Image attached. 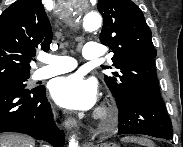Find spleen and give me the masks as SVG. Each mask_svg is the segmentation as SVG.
Masks as SVG:
<instances>
[{
	"label": "spleen",
	"instance_id": "obj_1",
	"mask_svg": "<svg viewBox=\"0 0 183 147\" xmlns=\"http://www.w3.org/2000/svg\"><path fill=\"white\" fill-rule=\"evenodd\" d=\"M123 140L128 142H136L145 147H154V143L151 140L144 137H126Z\"/></svg>",
	"mask_w": 183,
	"mask_h": 147
}]
</instances>
